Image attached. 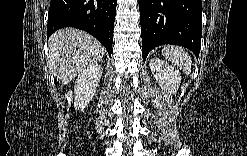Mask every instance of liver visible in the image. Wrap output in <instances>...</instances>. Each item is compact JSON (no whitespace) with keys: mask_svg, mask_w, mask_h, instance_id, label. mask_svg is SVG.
I'll return each instance as SVG.
<instances>
[{"mask_svg":"<svg viewBox=\"0 0 247 156\" xmlns=\"http://www.w3.org/2000/svg\"><path fill=\"white\" fill-rule=\"evenodd\" d=\"M103 55L104 47L81 30L60 29L48 41L49 69L63 84H68L78 73L97 64Z\"/></svg>","mask_w":247,"mask_h":156,"instance_id":"1","label":"liver"}]
</instances>
